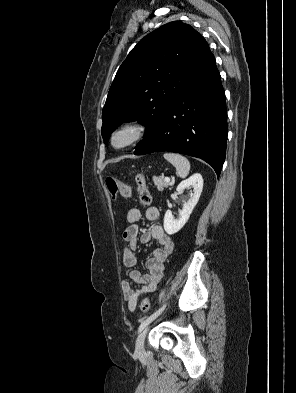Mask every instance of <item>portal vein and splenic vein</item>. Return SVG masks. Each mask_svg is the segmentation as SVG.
<instances>
[{
    "instance_id": "18ae733b",
    "label": "portal vein and splenic vein",
    "mask_w": 296,
    "mask_h": 393,
    "mask_svg": "<svg viewBox=\"0 0 296 393\" xmlns=\"http://www.w3.org/2000/svg\"><path fill=\"white\" fill-rule=\"evenodd\" d=\"M165 180L170 182V178L169 177H165Z\"/></svg>"
}]
</instances>
